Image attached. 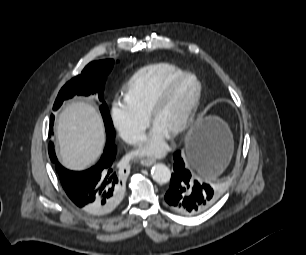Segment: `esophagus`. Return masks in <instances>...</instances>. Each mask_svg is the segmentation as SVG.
<instances>
[{"label": "esophagus", "instance_id": "1", "mask_svg": "<svg viewBox=\"0 0 306 255\" xmlns=\"http://www.w3.org/2000/svg\"><path fill=\"white\" fill-rule=\"evenodd\" d=\"M154 163H155V160L151 159V158H146V159L141 160V164L143 166H146V167H149V166L153 165Z\"/></svg>", "mask_w": 306, "mask_h": 255}]
</instances>
